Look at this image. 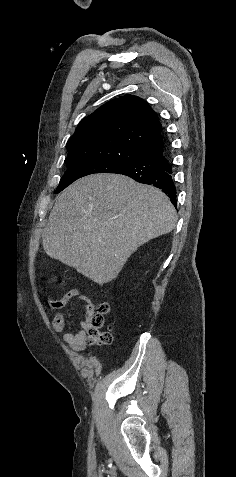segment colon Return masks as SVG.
<instances>
[{
  "mask_svg": "<svg viewBox=\"0 0 236 477\" xmlns=\"http://www.w3.org/2000/svg\"><path fill=\"white\" fill-rule=\"evenodd\" d=\"M110 311L107 303H101L96 313L89 319L90 328L86 340L91 344L110 345L114 337L111 330L101 331L104 325V316Z\"/></svg>",
  "mask_w": 236,
  "mask_h": 477,
  "instance_id": "obj_1",
  "label": "colon"
}]
</instances>
